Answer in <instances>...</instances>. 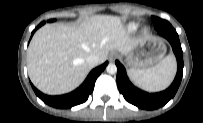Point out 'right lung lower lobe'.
I'll return each instance as SVG.
<instances>
[{"label": "right lung lower lobe", "instance_id": "1", "mask_svg": "<svg viewBox=\"0 0 203 123\" xmlns=\"http://www.w3.org/2000/svg\"><path fill=\"white\" fill-rule=\"evenodd\" d=\"M43 24L40 23L32 32L31 36L34 32L41 27ZM108 62H105L99 67L93 69L83 84L74 90L73 92L61 96H49L41 93L38 89H36L33 85L32 88L36 95L47 105L55 107V108H71L73 106L79 105L85 102L89 95L92 93L95 85V81L97 77L101 74V72L105 69Z\"/></svg>", "mask_w": 203, "mask_h": 123}]
</instances>
